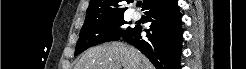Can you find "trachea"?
I'll return each instance as SVG.
<instances>
[{
	"instance_id": "obj_1",
	"label": "trachea",
	"mask_w": 246,
	"mask_h": 69,
	"mask_svg": "<svg viewBox=\"0 0 246 69\" xmlns=\"http://www.w3.org/2000/svg\"><path fill=\"white\" fill-rule=\"evenodd\" d=\"M141 5H142V2H138V3H137V6H138V7H141Z\"/></svg>"
}]
</instances>
